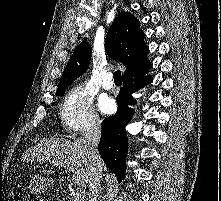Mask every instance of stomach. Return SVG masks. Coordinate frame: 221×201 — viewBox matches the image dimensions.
<instances>
[{"instance_id": "1", "label": "stomach", "mask_w": 221, "mask_h": 201, "mask_svg": "<svg viewBox=\"0 0 221 201\" xmlns=\"http://www.w3.org/2000/svg\"><path fill=\"white\" fill-rule=\"evenodd\" d=\"M51 186V181L37 174L31 177L29 188L33 194H41Z\"/></svg>"}]
</instances>
